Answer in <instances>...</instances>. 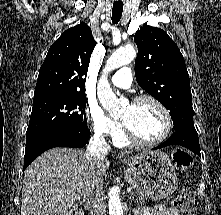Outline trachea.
<instances>
[{"mask_svg": "<svg viewBox=\"0 0 221 215\" xmlns=\"http://www.w3.org/2000/svg\"><path fill=\"white\" fill-rule=\"evenodd\" d=\"M122 12H123V4L121 3H115L113 4V8H112V22L114 24H117L122 16Z\"/></svg>", "mask_w": 221, "mask_h": 215, "instance_id": "3493384b", "label": "trachea"}]
</instances>
